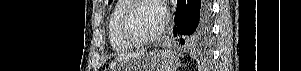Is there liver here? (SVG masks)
Masks as SVG:
<instances>
[{"instance_id":"liver-1","label":"liver","mask_w":301,"mask_h":71,"mask_svg":"<svg viewBox=\"0 0 301 71\" xmlns=\"http://www.w3.org/2000/svg\"><path fill=\"white\" fill-rule=\"evenodd\" d=\"M143 53H144V51L130 53V54H122V55L118 56L114 61H112L111 66H113V65H115V64H117L120 61L125 60V59L136 58V57H138L139 55H141Z\"/></svg>"}]
</instances>
